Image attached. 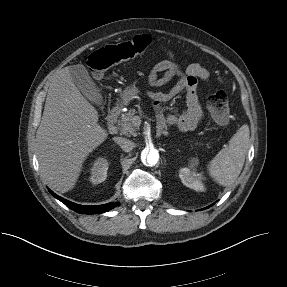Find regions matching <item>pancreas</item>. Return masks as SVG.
<instances>
[{
	"label": "pancreas",
	"mask_w": 287,
	"mask_h": 287,
	"mask_svg": "<svg viewBox=\"0 0 287 287\" xmlns=\"http://www.w3.org/2000/svg\"><path fill=\"white\" fill-rule=\"evenodd\" d=\"M137 111L135 109H130L127 113L122 114L119 120V128L122 134L125 135H136V131L139 130V123L134 121L135 114Z\"/></svg>",
	"instance_id": "cf45deb5"
}]
</instances>
